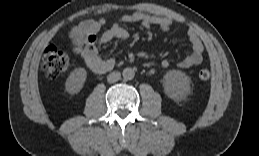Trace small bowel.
<instances>
[{
  "label": "small bowel",
  "instance_id": "obj_1",
  "mask_svg": "<svg viewBox=\"0 0 259 156\" xmlns=\"http://www.w3.org/2000/svg\"><path fill=\"white\" fill-rule=\"evenodd\" d=\"M128 23H140L144 28L157 27L164 32L171 31L173 27V20L169 17L134 12L119 15L108 29L99 34L100 30L107 26V19L86 20L72 27L69 31L73 52L80 56L95 73L102 74L111 70L115 61L112 58H102L99 53V46L113 40L127 39L128 32L123 25ZM187 36L191 43V52L177 64L182 69L198 66L203 60L204 48L198 33L194 29H190ZM161 65L167 68L170 61L164 59Z\"/></svg>",
  "mask_w": 259,
  "mask_h": 156
}]
</instances>
